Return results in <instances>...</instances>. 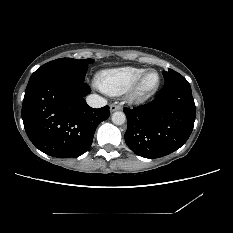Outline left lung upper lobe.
Returning <instances> with one entry per match:
<instances>
[{"label": "left lung upper lobe", "mask_w": 233, "mask_h": 233, "mask_svg": "<svg viewBox=\"0 0 233 233\" xmlns=\"http://www.w3.org/2000/svg\"><path fill=\"white\" fill-rule=\"evenodd\" d=\"M178 74H179L178 72H176V71H174L172 69H168V71L163 72V76H164L165 81L173 78L174 76H176Z\"/></svg>", "instance_id": "5c2ea615"}]
</instances>
